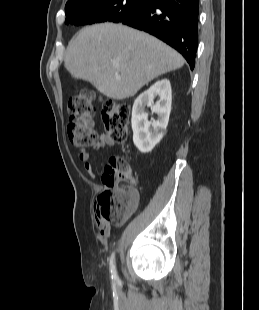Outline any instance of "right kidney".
I'll use <instances>...</instances> for the list:
<instances>
[{
    "label": "right kidney",
    "mask_w": 259,
    "mask_h": 310,
    "mask_svg": "<svg viewBox=\"0 0 259 310\" xmlns=\"http://www.w3.org/2000/svg\"><path fill=\"white\" fill-rule=\"evenodd\" d=\"M156 97H159V101L154 104ZM171 102L172 91L168 79L157 81L135 100L131 118L133 142L141 153L150 152L163 138L169 121ZM146 106H150L152 112L158 115L157 120L148 123Z\"/></svg>",
    "instance_id": "ca27d5eb"
}]
</instances>
